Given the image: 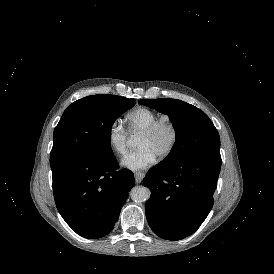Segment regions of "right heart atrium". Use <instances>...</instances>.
Masks as SVG:
<instances>
[{"mask_svg": "<svg viewBox=\"0 0 274 274\" xmlns=\"http://www.w3.org/2000/svg\"><path fill=\"white\" fill-rule=\"evenodd\" d=\"M106 140L109 148L116 153H123L127 144V133L117 123H111L107 129Z\"/></svg>", "mask_w": 274, "mask_h": 274, "instance_id": "obj_1", "label": "right heart atrium"}]
</instances>
